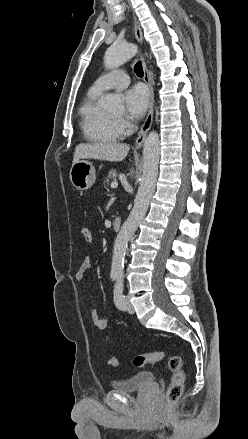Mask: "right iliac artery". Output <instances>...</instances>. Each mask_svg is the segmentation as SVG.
<instances>
[{"label":"right iliac artery","instance_id":"82829eb1","mask_svg":"<svg viewBox=\"0 0 248 439\" xmlns=\"http://www.w3.org/2000/svg\"><path fill=\"white\" fill-rule=\"evenodd\" d=\"M111 278H112V280H115V279L118 278V276L117 275H111Z\"/></svg>","mask_w":248,"mask_h":439}]
</instances>
